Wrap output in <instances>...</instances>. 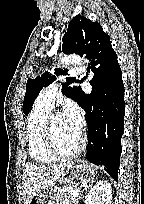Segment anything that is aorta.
Segmentation results:
<instances>
[{
  "mask_svg": "<svg viewBox=\"0 0 144 204\" xmlns=\"http://www.w3.org/2000/svg\"><path fill=\"white\" fill-rule=\"evenodd\" d=\"M82 59L77 55H68L61 58L60 63L64 66L81 64Z\"/></svg>",
  "mask_w": 144,
  "mask_h": 204,
  "instance_id": "762f6f07",
  "label": "aorta"
}]
</instances>
